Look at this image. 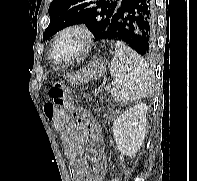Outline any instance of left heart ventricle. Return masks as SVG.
<instances>
[{"label": "left heart ventricle", "mask_w": 197, "mask_h": 181, "mask_svg": "<svg viewBox=\"0 0 197 181\" xmlns=\"http://www.w3.org/2000/svg\"><path fill=\"white\" fill-rule=\"evenodd\" d=\"M81 38L76 33H69L63 36L56 46L55 56L58 60L69 58L78 48Z\"/></svg>", "instance_id": "obj_1"}]
</instances>
